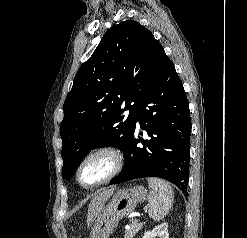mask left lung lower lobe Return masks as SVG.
I'll use <instances>...</instances> for the list:
<instances>
[{
    "label": "left lung lower lobe",
    "instance_id": "1",
    "mask_svg": "<svg viewBox=\"0 0 247 238\" xmlns=\"http://www.w3.org/2000/svg\"><path fill=\"white\" fill-rule=\"evenodd\" d=\"M137 121L150 136L149 140L140 137L142 132L136 138ZM190 135L187 97L174 64L167 57L138 109L134 130L124 151V167L111 184L159 177L186 193ZM139 142L143 146H137Z\"/></svg>",
    "mask_w": 247,
    "mask_h": 238
}]
</instances>
